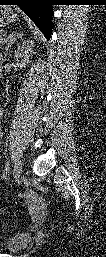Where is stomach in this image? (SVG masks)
<instances>
[{
    "instance_id": "1",
    "label": "stomach",
    "mask_w": 106,
    "mask_h": 257,
    "mask_svg": "<svg viewBox=\"0 0 106 257\" xmlns=\"http://www.w3.org/2000/svg\"><path fill=\"white\" fill-rule=\"evenodd\" d=\"M16 19H17V15L13 12L11 7H8V6L1 7V17H0L1 26L9 25L15 22Z\"/></svg>"
}]
</instances>
